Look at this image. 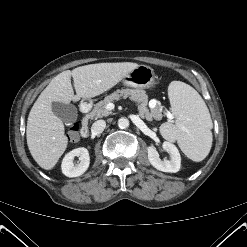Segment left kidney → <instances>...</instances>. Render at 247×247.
<instances>
[{
	"label": "left kidney",
	"mask_w": 247,
	"mask_h": 247,
	"mask_svg": "<svg viewBox=\"0 0 247 247\" xmlns=\"http://www.w3.org/2000/svg\"><path fill=\"white\" fill-rule=\"evenodd\" d=\"M162 147L167 153H169L170 160L167 159L161 160L156 148L154 146H149L148 147L149 162L157 170L163 172H170V173L178 172L181 167V157L177 147L174 144L167 141L163 143Z\"/></svg>",
	"instance_id": "left-kidney-1"
}]
</instances>
